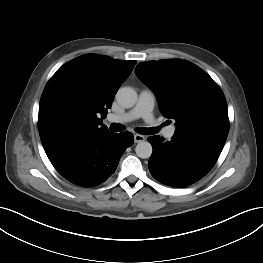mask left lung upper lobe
<instances>
[{"label":"left lung upper lobe","mask_w":263,"mask_h":263,"mask_svg":"<svg viewBox=\"0 0 263 263\" xmlns=\"http://www.w3.org/2000/svg\"><path fill=\"white\" fill-rule=\"evenodd\" d=\"M135 73L156 94L162 114L176 120L175 131L226 140L229 119L225 97L201 68L167 59L141 62Z\"/></svg>","instance_id":"obj_1"}]
</instances>
